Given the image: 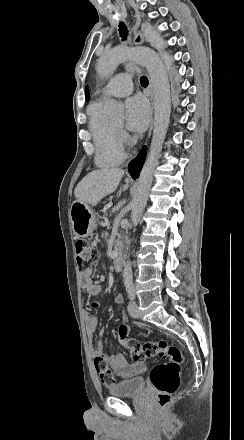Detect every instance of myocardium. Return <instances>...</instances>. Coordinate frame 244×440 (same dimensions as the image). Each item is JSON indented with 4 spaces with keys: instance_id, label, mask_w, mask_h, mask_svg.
<instances>
[{
    "instance_id": "obj_1",
    "label": "myocardium",
    "mask_w": 244,
    "mask_h": 440,
    "mask_svg": "<svg viewBox=\"0 0 244 440\" xmlns=\"http://www.w3.org/2000/svg\"><path fill=\"white\" fill-rule=\"evenodd\" d=\"M109 127L111 128V129H113V130H117V129H119L120 127H118V128H115V127H113V126H111V125H109Z\"/></svg>"
}]
</instances>
